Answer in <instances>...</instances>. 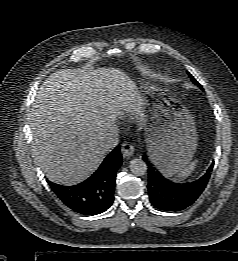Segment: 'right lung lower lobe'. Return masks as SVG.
<instances>
[{
	"label": "right lung lower lobe",
	"mask_w": 238,
	"mask_h": 261,
	"mask_svg": "<svg viewBox=\"0 0 238 261\" xmlns=\"http://www.w3.org/2000/svg\"><path fill=\"white\" fill-rule=\"evenodd\" d=\"M122 164L117 146L102 162L98 170L84 182L62 186L48 181L58 198L73 211L95 215L106 211L114 201L116 171Z\"/></svg>",
	"instance_id": "98d812e1"
}]
</instances>
